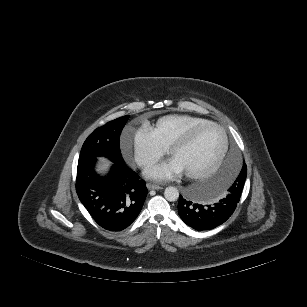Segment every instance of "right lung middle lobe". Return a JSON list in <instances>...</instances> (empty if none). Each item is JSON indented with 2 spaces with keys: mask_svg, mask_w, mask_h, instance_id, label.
I'll return each instance as SVG.
<instances>
[{
  "mask_svg": "<svg viewBox=\"0 0 307 307\" xmlns=\"http://www.w3.org/2000/svg\"><path fill=\"white\" fill-rule=\"evenodd\" d=\"M128 118L129 115H126L95 129L84 142L78 162L99 156H105L113 162L122 161L119 140Z\"/></svg>",
  "mask_w": 307,
  "mask_h": 307,
  "instance_id": "right-lung-middle-lobe-1",
  "label": "right lung middle lobe"
}]
</instances>
